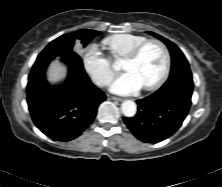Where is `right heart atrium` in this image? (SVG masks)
I'll use <instances>...</instances> for the list:
<instances>
[{
  "mask_svg": "<svg viewBox=\"0 0 222 187\" xmlns=\"http://www.w3.org/2000/svg\"><path fill=\"white\" fill-rule=\"evenodd\" d=\"M82 65L93 81L99 86H106L115 75L112 62L103 55L98 45L90 43L81 55Z\"/></svg>",
  "mask_w": 222,
  "mask_h": 187,
  "instance_id": "right-heart-atrium-1",
  "label": "right heart atrium"
}]
</instances>
